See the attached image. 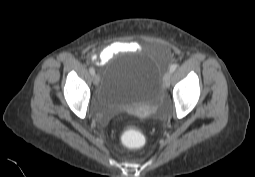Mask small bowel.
<instances>
[{
	"instance_id": "obj_1",
	"label": "small bowel",
	"mask_w": 255,
	"mask_h": 177,
	"mask_svg": "<svg viewBox=\"0 0 255 177\" xmlns=\"http://www.w3.org/2000/svg\"><path fill=\"white\" fill-rule=\"evenodd\" d=\"M138 48L139 45L135 42L114 43L104 48L99 54L93 55V60L98 65H104L108 63L118 53L124 51H134Z\"/></svg>"
}]
</instances>
